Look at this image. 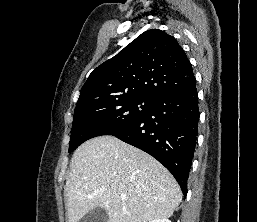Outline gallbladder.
<instances>
[{
  "mask_svg": "<svg viewBox=\"0 0 257 222\" xmlns=\"http://www.w3.org/2000/svg\"><path fill=\"white\" fill-rule=\"evenodd\" d=\"M80 222H108V214L105 208H95L89 211Z\"/></svg>",
  "mask_w": 257,
  "mask_h": 222,
  "instance_id": "1",
  "label": "gallbladder"
}]
</instances>
